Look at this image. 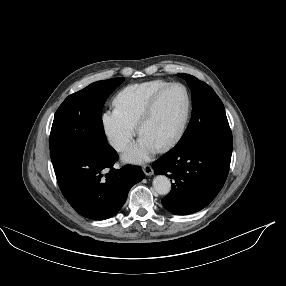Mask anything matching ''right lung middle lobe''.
I'll use <instances>...</instances> for the list:
<instances>
[{"label":"right lung middle lobe","instance_id":"obj_1","mask_svg":"<svg viewBox=\"0 0 286 286\" xmlns=\"http://www.w3.org/2000/svg\"><path fill=\"white\" fill-rule=\"evenodd\" d=\"M123 81V77L98 81L63 101L55 113L50 133L52 163L78 151L104 158L115 156L116 151L106 140L101 112L108 95Z\"/></svg>","mask_w":286,"mask_h":286}]
</instances>
